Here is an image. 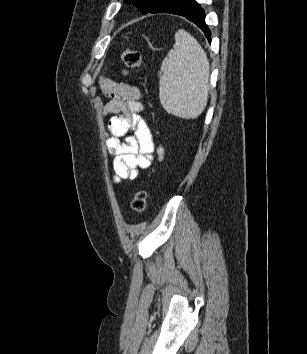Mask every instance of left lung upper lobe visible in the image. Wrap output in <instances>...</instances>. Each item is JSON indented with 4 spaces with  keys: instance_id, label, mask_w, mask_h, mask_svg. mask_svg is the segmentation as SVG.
Wrapping results in <instances>:
<instances>
[{
    "instance_id": "obj_1",
    "label": "left lung upper lobe",
    "mask_w": 307,
    "mask_h": 354,
    "mask_svg": "<svg viewBox=\"0 0 307 354\" xmlns=\"http://www.w3.org/2000/svg\"><path fill=\"white\" fill-rule=\"evenodd\" d=\"M126 3H132L143 14L147 12L155 13L166 5L169 0H124Z\"/></svg>"
}]
</instances>
